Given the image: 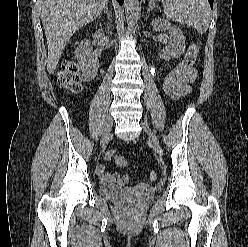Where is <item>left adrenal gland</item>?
<instances>
[{"label": "left adrenal gland", "mask_w": 248, "mask_h": 247, "mask_svg": "<svg viewBox=\"0 0 248 247\" xmlns=\"http://www.w3.org/2000/svg\"><path fill=\"white\" fill-rule=\"evenodd\" d=\"M154 8H155V3L154 2H150L149 8L147 9V12H150Z\"/></svg>", "instance_id": "a2214340"}]
</instances>
